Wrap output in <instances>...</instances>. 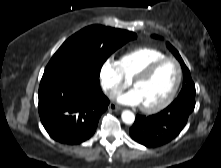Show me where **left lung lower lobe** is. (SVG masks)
Returning a JSON list of instances; mask_svg holds the SVG:
<instances>
[{
    "label": "left lung lower lobe",
    "mask_w": 221,
    "mask_h": 168,
    "mask_svg": "<svg viewBox=\"0 0 221 168\" xmlns=\"http://www.w3.org/2000/svg\"><path fill=\"white\" fill-rule=\"evenodd\" d=\"M195 107V92H180L163 111L151 116L137 115L130 136L146 147H157L176 138Z\"/></svg>",
    "instance_id": "1"
}]
</instances>
